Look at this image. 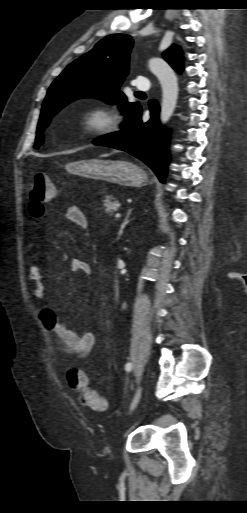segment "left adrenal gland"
Listing matches in <instances>:
<instances>
[{
    "label": "left adrenal gland",
    "instance_id": "a2214340",
    "mask_svg": "<svg viewBox=\"0 0 247 513\" xmlns=\"http://www.w3.org/2000/svg\"><path fill=\"white\" fill-rule=\"evenodd\" d=\"M131 212H132V209H129V210H128V212H127V214H126L125 219L123 220V222H122V224H121V226H120V229H119V231H118L117 239H120V238H121V236H122V234H123V230H124V228H125V227H126V225L129 223V221H130V220H129V217H130Z\"/></svg>",
    "mask_w": 247,
    "mask_h": 513
}]
</instances>
